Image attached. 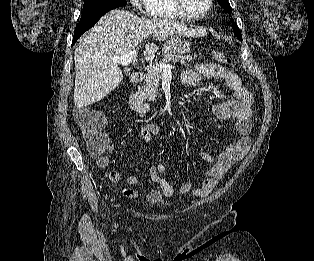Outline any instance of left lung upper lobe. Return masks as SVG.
<instances>
[{
  "label": "left lung upper lobe",
  "mask_w": 314,
  "mask_h": 261,
  "mask_svg": "<svg viewBox=\"0 0 314 261\" xmlns=\"http://www.w3.org/2000/svg\"><path fill=\"white\" fill-rule=\"evenodd\" d=\"M219 5L225 9V11L227 13H229V15H231V7H230V4L227 0H217ZM232 26H233V31H234V34L235 36L240 40L242 41V35L240 33V30L237 26V24L232 20Z\"/></svg>",
  "instance_id": "obj_1"
}]
</instances>
